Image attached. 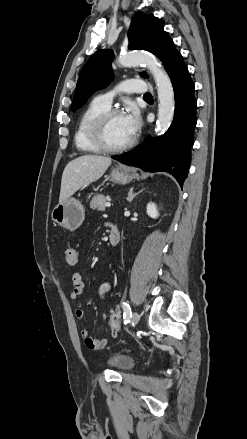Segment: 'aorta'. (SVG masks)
<instances>
[{
  "label": "aorta",
  "mask_w": 247,
  "mask_h": 439,
  "mask_svg": "<svg viewBox=\"0 0 247 439\" xmlns=\"http://www.w3.org/2000/svg\"><path fill=\"white\" fill-rule=\"evenodd\" d=\"M118 63L123 67L145 64L153 75L159 101L155 131L158 135L164 134L173 121L175 110L174 90L168 74L162 68L157 58L141 52L120 54Z\"/></svg>",
  "instance_id": "1"
}]
</instances>
